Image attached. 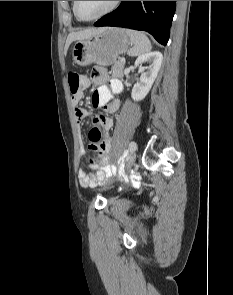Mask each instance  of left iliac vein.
<instances>
[{"label":"left iliac vein","mask_w":233,"mask_h":295,"mask_svg":"<svg viewBox=\"0 0 233 295\" xmlns=\"http://www.w3.org/2000/svg\"><path fill=\"white\" fill-rule=\"evenodd\" d=\"M136 145V143H135ZM130 148V147H129ZM135 160H136V153L134 151H132V153L128 156L127 158V161H126V165H125V170H124V173L128 172L131 167L134 165L135 163ZM111 186V184L109 185H106L102 188V190H106L108 189L109 187Z\"/></svg>","instance_id":"obj_1"}]
</instances>
